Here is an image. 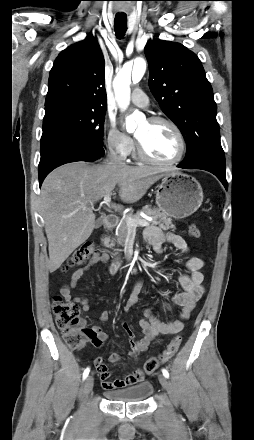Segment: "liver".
I'll return each mask as SVG.
<instances>
[{
	"label": "liver",
	"instance_id": "6515ba94",
	"mask_svg": "<svg viewBox=\"0 0 254 440\" xmlns=\"http://www.w3.org/2000/svg\"><path fill=\"white\" fill-rule=\"evenodd\" d=\"M162 176L147 167L110 162L101 165L74 162L52 171L40 193L50 272L56 271L90 237L96 223L94 203L108 193L112 195L116 186L122 201L135 203Z\"/></svg>",
	"mask_w": 254,
	"mask_h": 440
}]
</instances>
